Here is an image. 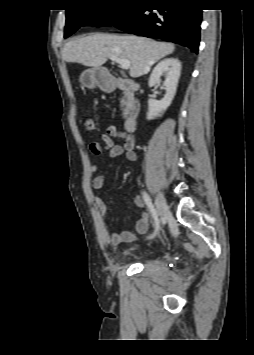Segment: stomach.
<instances>
[{
	"label": "stomach",
	"instance_id": "stomach-1",
	"mask_svg": "<svg viewBox=\"0 0 254 355\" xmlns=\"http://www.w3.org/2000/svg\"><path fill=\"white\" fill-rule=\"evenodd\" d=\"M80 82L89 89L100 87L108 90L114 87L112 78L104 68H91L83 71L80 75Z\"/></svg>",
	"mask_w": 254,
	"mask_h": 355
}]
</instances>
